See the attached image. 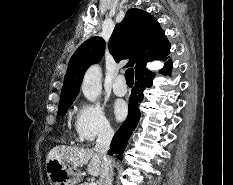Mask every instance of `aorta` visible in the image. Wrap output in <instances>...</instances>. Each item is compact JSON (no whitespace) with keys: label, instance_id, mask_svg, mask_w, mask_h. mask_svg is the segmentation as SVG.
<instances>
[{"label":"aorta","instance_id":"obj_1","mask_svg":"<svg viewBox=\"0 0 233 185\" xmlns=\"http://www.w3.org/2000/svg\"><path fill=\"white\" fill-rule=\"evenodd\" d=\"M101 69L98 65L91 66L85 73L81 85L82 92L87 100L94 101L102 90Z\"/></svg>","mask_w":233,"mask_h":185}]
</instances>
